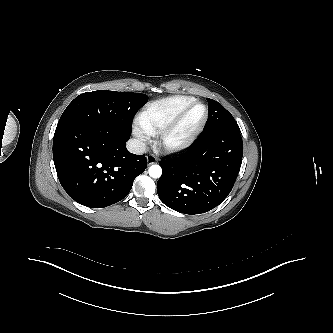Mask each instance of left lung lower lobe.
Segmentation results:
<instances>
[{"mask_svg": "<svg viewBox=\"0 0 333 333\" xmlns=\"http://www.w3.org/2000/svg\"><path fill=\"white\" fill-rule=\"evenodd\" d=\"M240 131L203 132L181 156L162 159L157 182L160 200L184 214H200L218 206L231 192L242 162Z\"/></svg>", "mask_w": 333, "mask_h": 333, "instance_id": "obj_1", "label": "left lung lower lobe"}]
</instances>
